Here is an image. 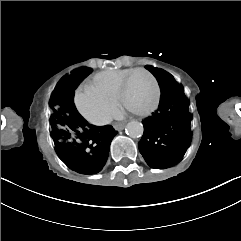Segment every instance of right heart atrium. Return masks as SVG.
<instances>
[{
    "instance_id": "1",
    "label": "right heart atrium",
    "mask_w": 241,
    "mask_h": 241,
    "mask_svg": "<svg viewBox=\"0 0 241 241\" xmlns=\"http://www.w3.org/2000/svg\"><path fill=\"white\" fill-rule=\"evenodd\" d=\"M111 96L103 93L98 86L87 84L79 86L74 93V104L77 110L91 123L104 125L115 115V102Z\"/></svg>"
}]
</instances>
